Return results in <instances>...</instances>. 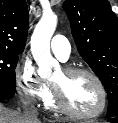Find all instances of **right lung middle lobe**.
Instances as JSON below:
<instances>
[{
    "mask_svg": "<svg viewBox=\"0 0 118 123\" xmlns=\"http://www.w3.org/2000/svg\"><path fill=\"white\" fill-rule=\"evenodd\" d=\"M20 53L0 49V90L16 91L15 68Z\"/></svg>",
    "mask_w": 118,
    "mask_h": 123,
    "instance_id": "obj_1",
    "label": "right lung middle lobe"
}]
</instances>
